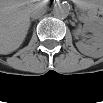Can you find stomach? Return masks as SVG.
<instances>
[{
	"instance_id": "stomach-1",
	"label": "stomach",
	"mask_w": 103,
	"mask_h": 103,
	"mask_svg": "<svg viewBox=\"0 0 103 103\" xmlns=\"http://www.w3.org/2000/svg\"><path fill=\"white\" fill-rule=\"evenodd\" d=\"M80 7L84 10L90 11L92 9V4L90 1H80Z\"/></svg>"
}]
</instances>
